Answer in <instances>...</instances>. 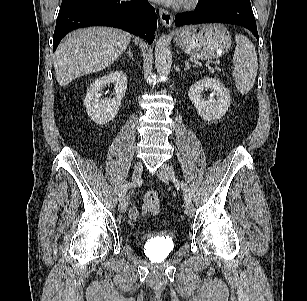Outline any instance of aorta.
Wrapping results in <instances>:
<instances>
[{"label": "aorta", "instance_id": "obj_1", "mask_svg": "<svg viewBox=\"0 0 307 301\" xmlns=\"http://www.w3.org/2000/svg\"><path fill=\"white\" fill-rule=\"evenodd\" d=\"M167 36L162 34L155 46V66L160 76H168L172 66V53Z\"/></svg>", "mask_w": 307, "mask_h": 301}]
</instances>
